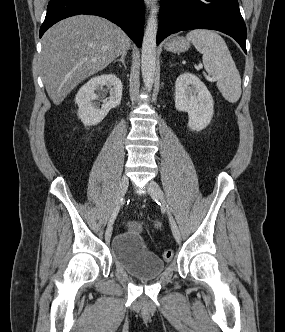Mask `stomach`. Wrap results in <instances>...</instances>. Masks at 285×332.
Listing matches in <instances>:
<instances>
[{
	"instance_id": "0dacf381",
	"label": "stomach",
	"mask_w": 285,
	"mask_h": 332,
	"mask_svg": "<svg viewBox=\"0 0 285 332\" xmlns=\"http://www.w3.org/2000/svg\"><path fill=\"white\" fill-rule=\"evenodd\" d=\"M190 47L189 40L184 37H175L165 44V49L170 52H184Z\"/></svg>"
}]
</instances>
